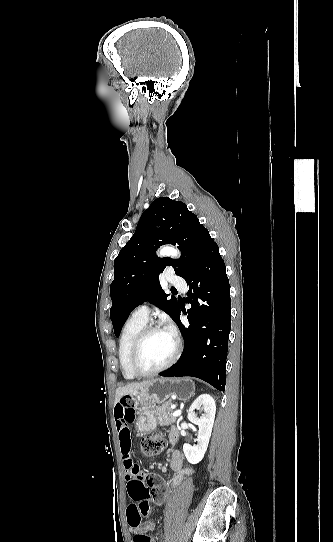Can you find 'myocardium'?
Segmentation results:
<instances>
[{"instance_id": "1", "label": "myocardium", "mask_w": 333, "mask_h": 542, "mask_svg": "<svg viewBox=\"0 0 333 542\" xmlns=\"http://www.w3.org/2000/svg\"><path fill=\"white\" fill-rule=\"evenodd\" d=\"M162 329L164 328L159 324H148L139 332V334L135 338L134 342L132 343V346L130 348V353H129V366L134 375L139 376V377L155 376L158 373L172 366L177 361L180 355V351H181V342H180L179 337L177 335H174L173 336L174 338L173 352L165 363H163L161 366L151 371H143L138 367L137 359H138V355L143 343L145 342V340L151 333L158 330H162Z\"/></svg>"}]
</instances>
